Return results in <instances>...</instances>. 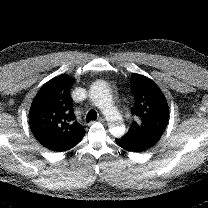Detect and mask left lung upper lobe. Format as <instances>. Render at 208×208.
I'll return each mask as SVG.
<instances>
[{
  "mask_svg": "<svg viewBox=\"0 0 208 208\" xmlns=\"http://www.w3.org/2000/svg\"><path fill=\"white\" fill-rule=\"evenodd\" d=\"M131 87L135 99L133 122L122 138L149 149L159 141L166 129L169 107L160 88L148 77L133 73Z\"/></svg>",
  "mask_w": 208,
  "mask_h": 208,
  "instance_id": "left-lung-upper-lobe-1",
  "label": "left lung upper lobe"
}]
</instances>
